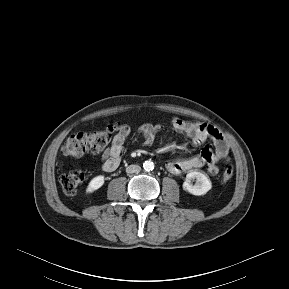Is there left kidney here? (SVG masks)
Here are the masks:
<instances>
[{"label":"left kidney","instance_id":"left-kidney-1","mask_svg":"<svg viewBox=\"0 0 289 289\" xmlns=\"http://www.w3.org/2000/svg\"><path fill=\"white\" fill-rule=\"evenodd\" d=\"M194 179L196 180V183L192 184L191 180ZM182 186L188 193L200 196L206 194L212 188V183L204 172L192 171L187 174Z\"/></svg>","mask_w":289,"mask_h":289}]
</instances>
